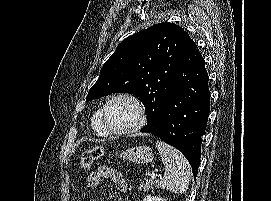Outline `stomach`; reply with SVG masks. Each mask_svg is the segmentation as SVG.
I'll use <instances>...</instances> for the list:
<instances>
[{"label": "stomach", "mask_w": 271, "mask_h": 201, "mask_svg": "<svg viewBox=\"0 0 271 201\" xmlns=\"http://www.w3.org/2000/svg\"><path fill=\"white\" fill-rule=\"evenodd\" d=\"M120 158L138 164H147L152 162L154 154L150 147L143 145L122 151Z\"/></svg>", "instance_id": "obj_1"}]
</instances>
